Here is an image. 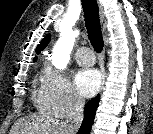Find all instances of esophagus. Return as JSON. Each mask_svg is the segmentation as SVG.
I'll list each match as a JSON object with an SVG mask.
<instances>
[{
	"label": "esophagus",
	"mask_w": 153,
	"mask_h": 134,
	"mask_svg": "<svg viewBox=\"0 0 153 134\" xmlns=\"http://www.w3.org/2000/svg\"><path fill=\"white\" fill-rule=\"evenodd\" d=\"M97 1H98V5H99V14H100L101 19L103 20V7H102L101 3L99 2V0H97Z\"/></svg>",
	"instance_id": "1"
}]
</instances>
